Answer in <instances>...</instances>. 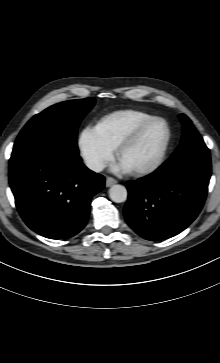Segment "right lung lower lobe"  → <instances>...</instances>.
I'll list each match as a JSON object with an SVG mask.
<instances>
[{
    "label": "right lung lower lobe",
    "mask_w": 220,
    "mask_h": 363,
    "mask_svg": "<svg viewBox=\"0 0 220 363\" xmlns=\"http://www.w3.org/2000/svg\"><path fill=\"white\" fill-rule=\"evenodd\" d=\"M104 181L78 154L56 144L10 159L9 182L17 209L33 231L50 239L70 238L86 225L91 199Z\"/></svg>",
    "instance_id": "obj_1"
}]
</instances>
